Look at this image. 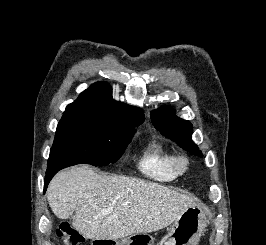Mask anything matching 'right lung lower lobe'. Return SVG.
<instances>
[{"instance_id":"right-lung-lower-lobe-1","label":"right lung lower lobe","mask_w":266,"mask_h":245,"mask_svg":"<svg viewBox=\"0 0 266 245\" xmlns=\"http://www.w3.org/2000/svg\"><path fill=\"white\" fill-rule=\"evenodd\" d=\"M60 169H53V170H47L46 176L44 179V192L46 191V188L48 186V183L52 179V177L59 171Z\"/></svg>"}]
</instances>
